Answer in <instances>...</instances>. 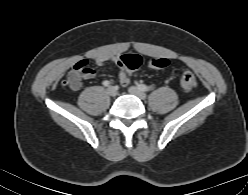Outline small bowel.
<instances>
[{
	"label": "small bowel",
	"instance_id": "1",
	"mask_svg": "<svg viewBox=\"0 0 248 195\" xmlns=\"http://www.w3.org/2000/svg\"><path fill=\"white\" fill-rule=\"evenodd\" d=\"M118 56L114 57H107V56H95L92 58V61L96 63L97 65H104L107 63H112L120 68L119 72V81L121 85L127 86L130 83L129 76L126 72V70L121 66ZM96 75V71L93 68L85 67V73L83 74V77L85 79H91Z\"/></svg>",
	"mask_w": 248,
	"mask_h": 195
}]
</instances>
